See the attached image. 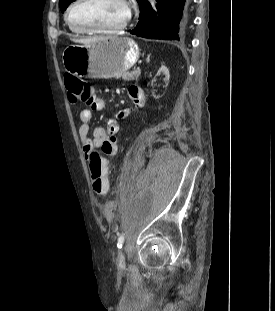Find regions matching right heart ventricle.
I'll return each mask as SVG.
<instances>
[{
  "label": "right heart ventricle",
  "mask_w": 275,
  "mask_h": 311,
  "mask_svg": "<svg viewBox=\"0 0 275 311\" xmlns=\"http://www.w3.org/2000/svg\"><path fill=\"white\" fill-rule=\"evenodd\" d=\"M72 32H74V33H82V32H79V31H75V30H72V29H70Z\"/></svg>",
  "instance_id": "1"
}]
</instances>
